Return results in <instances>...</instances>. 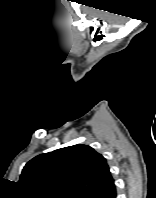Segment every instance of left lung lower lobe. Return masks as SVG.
<instances>
[{
  "label": "left lung lower lobe",
  "mask_w": 156,
  "mask_h": 198,
  "mask_svg": "<svg viewBox=\"0 0 156 198\" xmlns=\"http://www.w3.org/2000/svg\"><path fill=\"white\" fill-rule=\"evenodd\" d=\"M89 198H116V187L112 176L102 188L93 193Z\"/></svg>",
  "instance_id": "1"
}]
</instances>
